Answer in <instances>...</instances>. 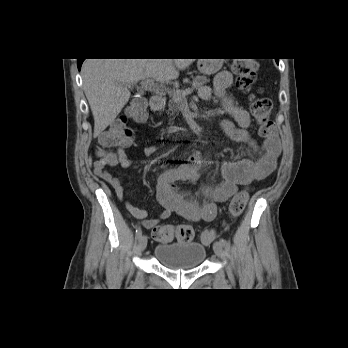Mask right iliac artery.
Instances as JSON below:
<instances>
[{"instance_id":"82829eb1","label":"right iliac artery","mask_w":348,"mask_h":348,"mask_svg":"<svg viewBox=\"0 0 348 348\" xmlns=\"http://www.w3.org/2000/svg\"><path fill=\"white\" fill-rule=\"evenodd\" d=\"M140 236H142V230L140 228L136 229V238H140Z\"/></svg>"}]
</instances>
